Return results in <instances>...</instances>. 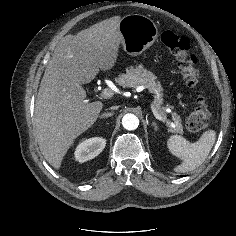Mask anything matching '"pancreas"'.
Returning a JSON list of instances; mask_svg holds the SVG:
<instances>
[{
  "mask_svg": "<svg viewBox=\"0 0 236 236\" xmlns=\"http://www.w3.org/2000/svg\"><path fill=\"white\" fill-rule=\"evenodd\" d=\"M156 77L153 73L144 69L141 65L137 66L136 68L130 67L126 70V74L120 75L117 79V82L122 87H134L137 88L138 86L144 85L148 86L151 92H154L156 89L159 92V98H155V109L157 112L166 117L165 109L166 107L163 106V99H162V87L159 82H156ZM174 115V127H170V131L174 133H183V125L179 115L176 113Z\"/></svg>",
  "mask_w": 236,
  "mask_h": 236,
  "instance_id": "obj_1",
  "label": "pancreas"
}]
</instances>
